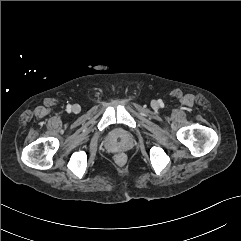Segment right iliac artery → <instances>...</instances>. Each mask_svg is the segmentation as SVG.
<instances>
[{
  "label": "right iliac artery",
  "instance_id": "right-iliac-artery-1",
  "mask_svg": "<svg viewBox=\"0 0 241 241\" xmlns=\"http://www.w3.org/2000/svg\"><path fill=\"white\" fill-rule=\"evenodd\" d=\"M67 111L70 112L71 111V105H67Z\"/></svg>",
  "mask_w": 241,
  "mask_h": 241
}]
</instances>
